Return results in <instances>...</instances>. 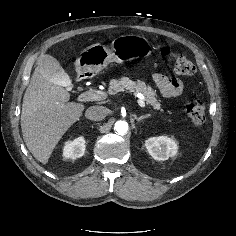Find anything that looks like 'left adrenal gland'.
<instances>
[{"mask_svg": "<svg viewBox=\"0 0 236 236\" xmlns=\"http://www.w3.org/2000/svg\"><path fill=\"white\" fill-rule=\"evenodd\" d=\"M148 117H150V114H147V115H144V116H141V117H136V120H137L138 122H140L141 120L146 119V118H148Z\"/></svg>", "mask_w": 236, "mask_h": 236, "instance_id": "obj_1", "label": "left adrenal gland"}]
</instances>
